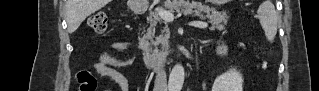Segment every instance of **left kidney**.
I'll return each instance as SVG.
<instances>
[{
	"label": "left kidney",
	"mask_w": 319,
	"mask_h": 91,
	"mask_svg": "<svg viewBox=\"0 0 319 91\" xmlns=\"http://www.w3.org/2000/svg\"><path fill=\"white\" fill-rule=\"evenodd\" d=\"M212 91H243V77L235 68L218 76Z\"/></svg>",
	"instance_id": "1"
}]
</instances>
